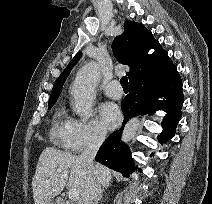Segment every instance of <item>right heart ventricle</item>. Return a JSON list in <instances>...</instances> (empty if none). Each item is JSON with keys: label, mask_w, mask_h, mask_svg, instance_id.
<instances>
[{"label": "right heart ventricle", "mask_w": 212, "mask_h": 204, "mask_svg": "<svg viewBox=\"0 0 212 204\" xmlns=\"http://www.w3.org/2000/svg\"><path fill=\"white\" fill-rule=\"evenodd\" d=\"M71 122L72 119L69 117L64 107H60L56 110L50 133L51 138L55 143L67 147Z\"/></svg>", "instance_id": "obj_1"}]
</instances>
